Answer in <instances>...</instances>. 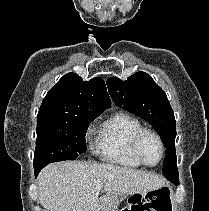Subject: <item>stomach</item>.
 Segmentation results:
<instances>
[{
	"label": "stomach",
	"instance_id": "obj_1",
	"mask_svg": "<svg viewBox=\"0 0 209 211\" xmlns=\"http://www.w3.org/2000/svg\"><path fill=\"white\" fill-rule=\"evenodd\" d=\"M137 195H142V194H141V193L130 194V195H127V196H125V197H127V198H134V197L137 196Z\"/></svg>",
	"mask_w": 209,
	"mask_h": 211
}]
</instances>
